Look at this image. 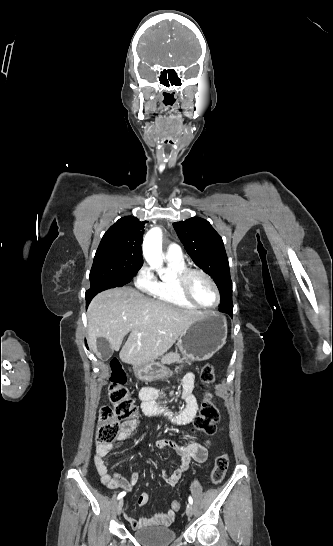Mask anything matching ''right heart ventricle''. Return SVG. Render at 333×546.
<instances>
[{"instance_id":"1","label":"right heart ventricle","mask_w":333,"mask_h":546,"mask_svg":"<svg viewBox=\"0 0 333 546\" xmlns=\"http://www.w3.org/2000/svg\"><path fill=\"white\" fill-rule=\"evenodd\" d=\"M167 266L170 271V275L163 277L160 281H158L157 291L154 295L155 298L160 303L173 305L187 310H196L197 307L184 299L178 289L177 277L184 269H186L184 260L174 261L167 259Z\"/></svg>"}]
</instances>
